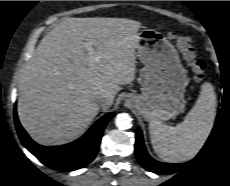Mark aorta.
<instances>
[{
    "label": "aorta",
    "instance_id": "762f6f07",
    "mask_svg": "<svg viewBox=\"0 0 230 186\" xmlns=\"http://www.w3.org/2000/svg\"><path fill=\"white\" fill-rule=\"evenodd\" d=\"M132 118L127 113L118 114L115 119V125L120 130L129 129L132 126Z\"/></svg>",
    "mask_w": 230,
    "mask_h": 186
}]
</instances>
